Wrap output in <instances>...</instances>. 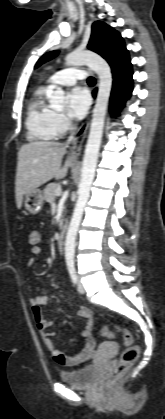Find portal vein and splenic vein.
Wrapping results in <instances>:
<instances>
[{
  "label": "portal vein and splenic vein",
  "instance_id": "1",
  "mask_svg": "<svg viewBox=\"0 0 165 419\" xmlns=\"http://www.w3.org/2000/svg\"><path fill=\"white\" fill-rule=\"evenodd\" d=\"M55 194H56V196H60L61 195V189L59 188V189H57L56 191H55Z\"/></svg>",
  "mask_w": 165,
  "mask_h": 419
}]
</instances>
